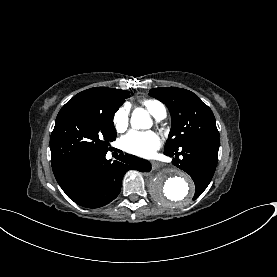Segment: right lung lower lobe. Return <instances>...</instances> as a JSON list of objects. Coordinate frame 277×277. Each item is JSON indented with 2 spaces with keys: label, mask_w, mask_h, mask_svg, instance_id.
Here are the masks:
<instances>
[{
  "label": "right lung lower lobe",
  "mask_w": 277,
  "mask_h": 277,
  "mask_svg": "<svg viewBox=\"0 0 277 277\" xmlns=\"http://www.w3.org/2000/svg\"><path fill=\"white\" fill-rule=\"evenodd\" d=\"M107 151L72 157L52 166L60 187L78 205L87 208L107 205L120 193L128 170H151L149 161L128 154L119 155L111 163L105 158Z\"/></svg>",
  "instance_id": "obj_1"
}]
</instances>
